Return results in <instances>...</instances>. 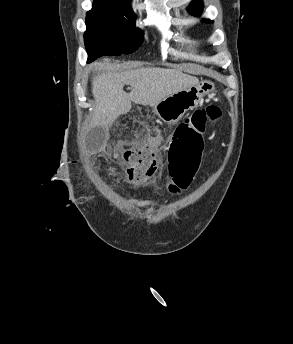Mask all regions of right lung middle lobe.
Instances as JSON below:
<instances>
[{"label": "right lung middle lobe", "mask_w": 293, "mask_h": 344, "mask_svg": "<svg viewBox=\"0 0 293 344\" xmlns=\"http://www.w3.org/2000/svg\"><path fill=\"white\" fill-rule=\"evenodd\" d=\"M136 16L130 9L93 4L87 13L84 41L88 63L101 56L134 52L142 43L143 32L135 27Z\"/></svg>", "instance_id": "right-lung-middle-lobe-1"}]
</instances>
